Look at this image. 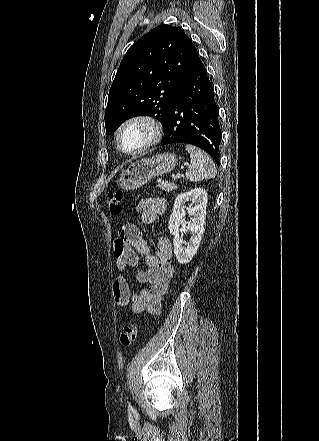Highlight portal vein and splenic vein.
I'll return each mask as SVG.
<instances>
[{
	"label": "portal vein and splenic vein",
	"instance_id": "1",
	"mask_svg": "<svg viewBox=\"0 0 319 441\" xmlns=\"http://www.w3.org/2000/svg\"><path fill=\"white\" fill-rule=\"evenodd\" d=\"M180 177H181V174H180V173H177V175H176L175 178H180Z\"/></svg>",
	"mask_w": 319,
	"mask_h": 441
}]
</instances>
